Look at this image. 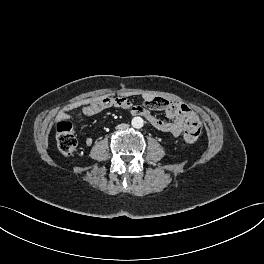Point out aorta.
<instances>
[{"label": "aorta", "instance_id": "aorta-1", "mask_svg": "<svg viewBox=\"0 0 264 264\" xmlns=\"http://www.w3.org/2000/svg\"><path fill=\"white\" fill-rule=\"evenodd\" d=\"M131 124L134 128L140 129L144 125V121L141 117H134L131 121Z\"/></svg>", "mask_w": 264, "mask_h": 264}]
</instances>
